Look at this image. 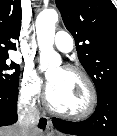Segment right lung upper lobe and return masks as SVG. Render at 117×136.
Segmentation results:
<instances>
[{"label":"right lung upper lobe","mask_w":117,"mask_h":136,"mask_svg":"<svg viewBox=\"0 0 117 136\" xmlns=\"http://www.w3.org/2000/svg\"><path fill=\"white\" fill-rule=\"evenodd\" d=\"M21 18V0H0V57L17 49L14 41L19 40Z\"/></svg>","instance_id":"right-lung-upper-lobe-1"}]
</instances>
